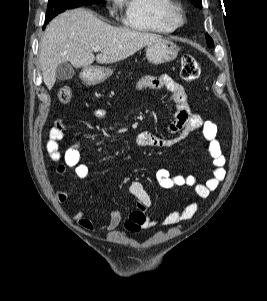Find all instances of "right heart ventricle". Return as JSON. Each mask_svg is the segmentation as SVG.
<instances>
[{
    "label": "right heart ventricle",
    "instance_id": "obj_1",
    "mask_svg": "<svg viewBox=\"0 0 267 301\" xmlns=\"http://www.w3.org/2000/svg\"><path fill=\"white\" fill-rule=\"evenodd\" d=\"M123 11V24L136 31L170 33L177 26L168 18L170 0H117Z\"/></svg>",
    "mask_w": 267,
    "mask_h": 301
}]
</instances>
